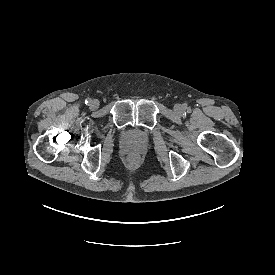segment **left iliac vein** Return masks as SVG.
Here are the masks:
<instances>
[{
    "label": "left iliac vein",
    "mask_w": 275,
    "mask_h": 275,
    "mask_svg": "<svg viewBox=\"0 0 275 275\" xmlns=\"http://www.w3.org/2000/svg\"><path fill=\"white\" fill-rule=\"evenodd\" d=\"M174 111L177 113H182L183 112V107L181 104H175L174 105Z\"/></svg>",
    "instance_id": "obj_1"
}]
</instances>
